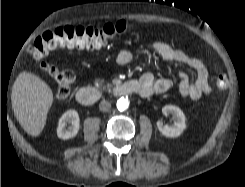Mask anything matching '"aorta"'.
<instances>
[{
	"instance_id": "obj_1",
	"label": "aorta",
	"mask_w": 245,
	"mask_h": 187,
	"mask_svg": "<svg viewBox=\"0 0 245 187\" xmlns=\"http://www.w3.org/2000/svg\"><path fill=\"white\" fill-rule=\"evenodd\" d=\"M116 106L119 111H125L129 107V100L121 97L117 100Z\"/></svg>"
}]
</instances>
